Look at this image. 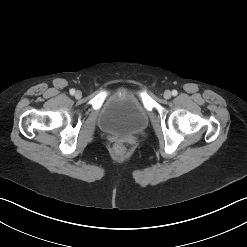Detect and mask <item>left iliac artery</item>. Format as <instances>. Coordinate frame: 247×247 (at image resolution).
<instances>
[{
    "label": "left iliac artery",
    "instance_id": "44dca946",
    "mask_svg": "<svg viewBox=\"0 0 247 247\" xmlns=\"http://www.w3.org/2000/svg\"><path fill=\"white\" fill-rule=\"evenodd\" d=\"M177 94H178V92H177L176 90H173V91H172V95H173V96H176Z\"/></svg>",
    "mask_w": 247,
    "mask_h": 247
}]
</instances>
